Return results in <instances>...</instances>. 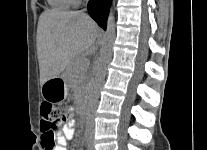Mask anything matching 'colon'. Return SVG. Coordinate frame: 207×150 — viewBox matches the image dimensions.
<instances>
[{
	"mask_svg": "<svg viewBox=\"0 0 207 150\" xmlns=\"http://www.w3.org/2000/svg\"><path fill=\"white\" fill-rule=\"evenodd\" d=\"M41 130L43 132V148L52 150L55 146V132L65 122L68 115V108L64 105H59L53 101L44 102L41 108Z\"/></svg>",
	"mask_w": 207,
	"mask_h": 150,
	"instance_id": "1",
	"label": "colon"
}]
</instances>
